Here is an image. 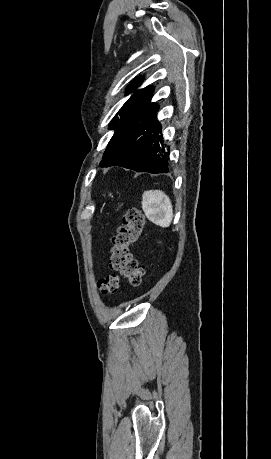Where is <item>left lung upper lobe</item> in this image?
Masks as SVG:
<instances>
[{"instance_id":"left-lung-upper-lobe-1","label":"left lung upper lobe","mask_w":271,"mask_h":459,"mask_svg":"<svg viewBox=\"0 0 271 459\" xmlns=\"http://www.w3.org/2000/svg\"><path fill=\"white\" fill-rule=\"evenodd\" d=\"M142 79L138 78L131 85L128 86V91L135 90ZM153 88L147 86L143 89L136 91L122 106L118 113L114 116L110 122L111 129L114 130L119 123L126 121L129 118L142 117L147 114L155 103H150ZM108 149V147H107ZM107 149L103 155V158L107 155Z\"/></svg>"}]
</instances>
